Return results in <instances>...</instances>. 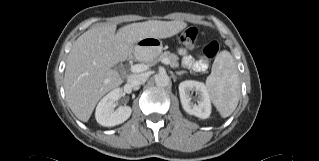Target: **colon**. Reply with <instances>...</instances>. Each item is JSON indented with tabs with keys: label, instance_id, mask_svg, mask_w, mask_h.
I'll return each mask as SVG.
<instances>
[{
	"label": "colon",
	"instance_id": "obj_1",
	"mask_svg": "<svg viewBox=\"0 0 319 161\" xmlns=\"http://www.w3.org/2000/svg\"><path fill=\"white\" fill-rule=\"evenodd\" d=\"M197 36L198 30L194 27H190L180 31L177 35V38L183 45L187 47H193L196 43ZM219 50V42L215 40L207 42L202 48L203 56L207 59L215 58L219 53Z\"/></svg>",
	"mask_w": 319,
	"mask_h": 161
}]
</instances>
